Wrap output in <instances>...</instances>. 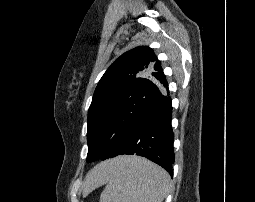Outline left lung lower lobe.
Returning <instances> with one entry per match:
<instances>
[{
    "label": "left lung lower lobe",
    "mask_w": 255,
    "mask_h": 202,
    "mask_svg": "<svg viewBox=\"0 0 255 202\" xmlns=\"http://www.w3.org/2000/svg\"><path fill=\"white\" fill-rule=\"evenodd\" d=\"M171 113V98L168 97L144 118L118 155L146 157L167 170L172 177L174 134Z\"/></svg>",
    "instance_id": "obj_1"
}]
</instances>
